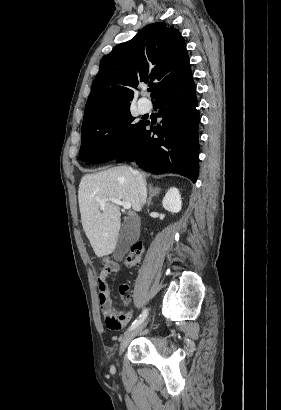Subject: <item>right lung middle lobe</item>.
Segmentation results:
<instances>
[{
    "label": "right lung middle lobe",
    "mask_w": 281,
    "mask_h": 410,
    "mask_svg": "<svg viewBox=\"0 0 281 410\" xmlns=\"http://www.w3.org/2000/svg\"><path fill=\"white\" fill-rule=\"evenodd\" d=\"M134 120L130 107H126L82 124L80 159L90 163L116 159L127 149L145 123Z\"/></svg>",
    "instance_id": "dd1d6c3e"
}]
</instances>
